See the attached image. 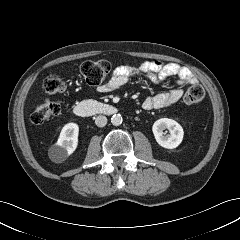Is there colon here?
I'll list each match as a JSON object with an SVG mask.
<instances>
[{"instance_id": "5ec220e1", "label": "colon", "mask_w": 240, "mask_h": 240, "mask_svg": "<svg viewBox=\"0 0 240 240\" xmlns=\"http://www.w3.org/2000/svg\"><path fill=\"white\" fill-rule=\"evenodd\" d=\"M111 70V65L107 61H86L81 66V75L88 86H97L105 79ZM47 93H58L65 89V83L58 74L48 75L43 83ZM205 91L202 85H191L184 94L185 104H197L203 100ZM62 104L59 101H47L39 104L34 109L31 120L34 124H42L60 114Z\"/></svg>"}]
</instances>
